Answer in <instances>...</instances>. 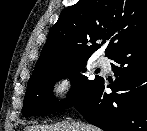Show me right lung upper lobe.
<instances>
[{
  "mask_svg": "<svg viewBox=\"0 0 147 131\" xmlns=\"http://www.w3.org/2000/svg\"><path fill=\"white\" fill-rule=\"evenodd\" d=\"M145 36L147 0H79L51 28L32 76L88 60L100 48L98 40L111 39L105 50L111 57Z\"/></svg>",
  "mask_w": 147,
  "mask_h": 131,
  "instance_id": "obj_1",
  "label": "right lung upper lobe"
}]
</instances>
